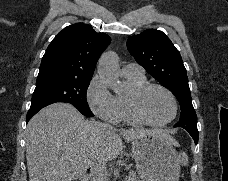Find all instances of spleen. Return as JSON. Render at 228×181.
Wrapping results in <instances>:
<instances>
[{
	"label": "spleen",
	"instance_id": "spleen-1",
	"mask_svg": "<svg viewBox=\"0 0 228 181\" xmlns=\"http://www.w3.org/2000/svg\"><path fill=\"white\" fill-rule=\"evenodd\" d=\"M179 161H180V163H182V165H188V157H187L186 153H180Z\"/></svg>",
	"mask_w": 228,
	"mask_h": 181
}]
</instances>
